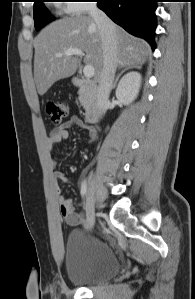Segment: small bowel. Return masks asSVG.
Wrapping results in <instances>:
<instances>
[{"label":"small bowel","instance_id":"c3829d8e","mask_svg":"<svg viewBox=\"0 0 195 299\" xmlns=\"http://www.w3.org/2000/svg\"><path fill=\"white\" fill-rule=\"evenodd\" d=\"M72 126L86 128L89 131L91 141H94L97 137V133L93 128L86 126L77 116H73L68 122L61 124L51 131L48 138L49 148L53 149L63 140L67 139L69 135L68 130ZM50 164L53 169V177L56 181L55 192L57 194L61 217L70 226H78L84 223L85 216L82 213L74 212L71 200L61 193L59 182L66 181V176L64 173L56 169V162L53 159L50 161Z\"/></svg>","mask_w":195,"mask_h":299}]
</instances>
